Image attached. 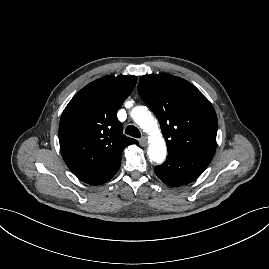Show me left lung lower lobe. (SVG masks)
<instances>
[{
    "label": "left lung lower lobe",
    "mask_w": 269,
    "mask_h": 269,
    "mask_svg": "<svg viewBox=\"0 0 269 269\" xmlns=\"http://www.w3.org/2000/svg\"><path fill=\"white\" fill-rule=\"evenodd\" d=\"M212 158L183 151H168L166 162L156 166V175L167 185L181 186L196 180Z\"/></svg>",
    "instance_id": "1"
}]
</instances>
